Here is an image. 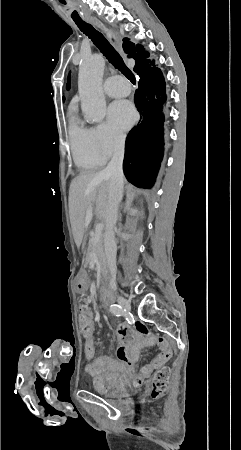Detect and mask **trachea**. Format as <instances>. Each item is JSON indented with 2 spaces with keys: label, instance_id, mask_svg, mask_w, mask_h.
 Returning a JSON list of instances; mask_svg holds the SVG:
<instances>
[{
  "label": "trachea",
  "instance_id": "obj_1",
  "mask_svg": "<svg viewBox=\"0 0 241 450\" xmlns=\"http://www.w3.org/2000/svg\"><path fill=\"white\" fill-rule=\"evenodd\" d=\"M77 27L83 32L91 41L99 48L100 52L109 60L112 65L117 68L125 77L130 80L133 84L136 83L134 74L125 65L122 57L116 52L115 48L110 45L108 40L102 35V33L95 30L89 23L86 22H75Z\"/></svg>",
  "mask_w": 241,
  "mask_h": 450
}]
</instances>
